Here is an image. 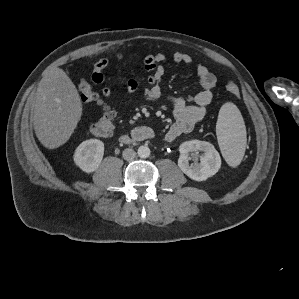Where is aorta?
<instances>
[{
  "mask_svg": "<svg viewBox=\"0 0 299 299\" xmlns=\"http://www.w3.org/2000/svg\"><path fill=\"white\" fill-rule=\"evenodd\" d=\"M137 153H138V156H139L140 158H147V157H149V155H150V149H149V147L146 146V145H144V146H140V147L138 148Z\"/></svg>",
  "mask_w": 299,
  "mask_h": 299,
  "instance_id": "obj_1",
  "label": "aorta"
}]
</instances>
